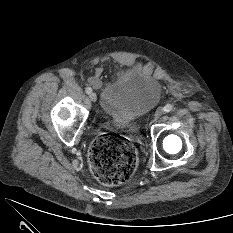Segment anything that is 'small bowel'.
Wrapping results in <instances>:
<instances>
[{"instance_id": "1", "label": "small bowel", "mask_w": 233, "mask_h": 233, "mask_svg": "<svg viewBox=\"0 0 233 233\" xmlns=\"http://www.w3.org/2000/svg\"><path fill=\"white\" fill-rule=\"evenodd\" d=\"M90 82L95 86V87H98L99 83H100V80L98 77H92L90 79Z\"/></svg>"}]
</instances>
